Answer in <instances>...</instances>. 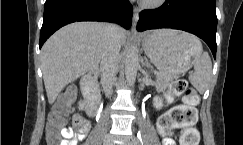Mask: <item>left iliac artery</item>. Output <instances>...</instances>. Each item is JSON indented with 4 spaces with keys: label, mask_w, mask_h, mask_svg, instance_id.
I'll return each instance as SVG.
<instances>
[{
    "label": "left iliac artery",
    "mask_w": 243,
    "mask_h": 145,
    "mask_svg": "<svg viewBox=\"0 0 243 145\" xmlns=\"http://www.w3.org/2000/svg\"><path fill=\"white\" fill-rule=\"evenodd\" d=\"M133 141H134V143H135L136 145H141V144H140V143L142 142V140H141V136L138 135V137H134V138H133Z\"/></svg>",
    "instance_id": "44dca946"
}]
</instances>
